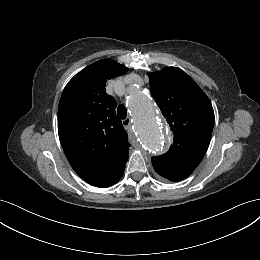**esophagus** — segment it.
Instances as JSON below:
<instances>
[{"mask_svg": "<svg viewBox=\"0 0 260 260\" xmlns=\"http://www.w3.org/2000/svg\"><path fill=\"white\" fill-rule=\"evenodd\" d=\"M122 124H123V126H124L126 129H128V128L130 127V125H131V119H130L129 117H127L126 119H124V120L122 121Z\"/></svg>", "mask_w": 260, "mask_h": 260, "instance_id": "obj_1", "label": "esophagus"}]
</instances>
